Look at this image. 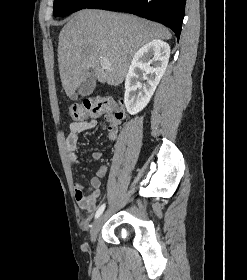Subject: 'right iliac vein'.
Here are the masks:
<instances>
[{"label": "right iliac vein", "instance_id": "obj_1", "mask_svg": "<svg viewBox=\"0 0 247 280\" xmlns=\"http://www.w3.org/2000/svg\"><path fill=\"white\" fill-rule=\"evenodd\" d=\"M103 222V216H100L99 218H97L95 220V222L93 223L91 230H90V236H91V241L94 243L96 241L98 232L101 228Z\"/></svg>", "mask_w": 247, "mask_h": 280}]
</instances>
